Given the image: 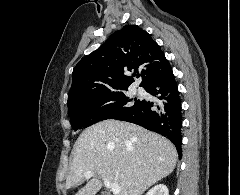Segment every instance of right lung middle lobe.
Returning <instances> with one entry per match:
<instances>
[{
  "instance_id": "obj_1",
  "label": "right lung middle lobe",
  "mask_w": 240,
  "mask_h": 195,
  "mask_svg": "<svg viewBox=\"0 0 240 195\" xmlns=\"http://www.w3.org/2000/svg\"><path fill=\"white\" fill-rule=\"evenodd\" d=\"M127 90V89H126ZM125 90L100 97H85L68 104L72 128H86L99 121L114 119L136 107L140 100L129 99Z\"/></svg>"
}]
</instances>
